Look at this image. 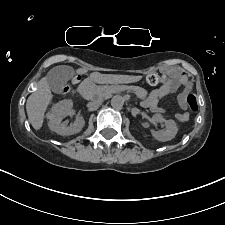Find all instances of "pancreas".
<instances>
[{"mask_svg":"<svg viewBox=\"0 0 225 225\" xmlns=\"http://www.w3.org/2000/svg\"><path fill=\"white\" fill-rule=\"evenodd\" d=\"M95 91L101 95H107L110 93L121 92V91H129L133 92L137 95L141 100L146 99L147 90L138 86H125V85H112V86H97Z\"/></svg>","mask_w":225,"mask_h":225,"instance_id":"obj_1","label":"pancreas"}]
</instances>
